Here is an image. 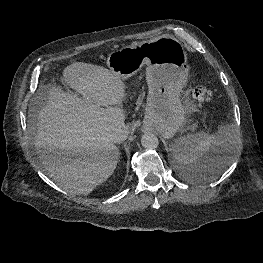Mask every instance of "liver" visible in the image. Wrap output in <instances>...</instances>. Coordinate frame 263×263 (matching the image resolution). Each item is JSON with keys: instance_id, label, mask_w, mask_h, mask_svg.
<instances>
[{"instance_id": "1", "label": "liver", "mask_w": 263, "mask_h": 263, "mask_svg": "<svg viewBox=\"0 0 263 263\" xmlns=\"http://www.w3.org/2000/svg\"><path fill=\"white\" fill-rule=\"evenodd\" d=\"M63 77L76 92L69 94L60 86L47 91L37 117L35 147L57 185L87 196L113 174L118 163L111 134L125 125L123 109L115 106L125 99V86L117 74L85 62L65 67Z\"/></svg>"}]
</instances>
